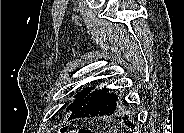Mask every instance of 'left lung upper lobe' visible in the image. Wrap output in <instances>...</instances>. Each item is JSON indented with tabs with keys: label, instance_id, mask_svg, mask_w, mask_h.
Wrapping results in <instances>:
<instances>
[{
	"label": "left lung upper lobe",
	"instance_id": "left-lung-upper-lobe-1",
	"mask_svg": "<svg viewBox=\"0 0 184 133\" xmlns=\"http://www.w3.org/2000/svg\"><path fill=\"white\" fill-rule=\"evenodd\" d=\"M93 88H94V86L86 87L81 92H78L74 96V98H75L74 101L67 107L66 111H73V109L92 91ZM122 108L130 110L132 115L135 116V111L129 106V104L124 103L122 105Z\"/></svg>",
	"mask_w": 184,
	"mask_h": 133
}]
</instances>
